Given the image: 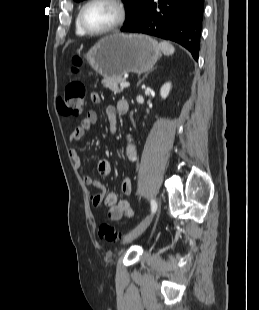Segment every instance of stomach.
I'll list each match as a JSON object with an SVG mask.
<instances>
[{
	"label": "stomach",
	"instance_id": "0dacf381",
	"mask_svg": "<svg viewBox=\"0 0 259 310\" xmlns=\"http://www.w3.org/2000/svg\"><path fill=\"white\" fill-rule=\"evenodd\" d=\"M160 56V46L153 38L116 33L99 40L84 58L98 74L117 78L151 70Z\"/></svg>",
	"mask_w": 259,
	"mask_h": 310
}]
</instances>
